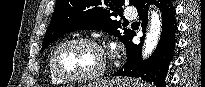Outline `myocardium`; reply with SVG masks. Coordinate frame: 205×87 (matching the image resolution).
<instances>
[{
  "instance_id": "obj_1",
  "label": "myocardium",
  "mask_w": 205,
  "mask_h": 87,
  "mask_svg": "<svg viewBox=\"0 0 205 87\" xmlns=\"http://www.w3.org/2000/svg\"><path fill=\"white\" fill-rule=\"evenodd\" d=\"M73 43H86L89 44L96 49H98L102 55V63L100 65V68L91 73V74H85V75H68L66 73H63L59 70L57 65V56L59 52L67 45L73 44ZM50 68L52 73L61 81L63 82H77V83H86V82H92L95 80H98L103 76V74L106 71L107 68V57L106 53L102 47V45L94 38L87 37V36H78L69 38L62 43H60L52 52L51 58H50Z\"/></svg>"
}]
</instances>
